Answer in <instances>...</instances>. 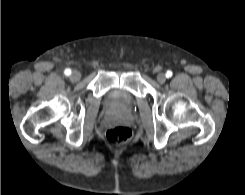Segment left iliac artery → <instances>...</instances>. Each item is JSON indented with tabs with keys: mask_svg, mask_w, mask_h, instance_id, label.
I'll return each instance as SVG.
<instances>
[{
	"mask_svg": "<svg viewBox=\"0 0 245 195\" xmlns=\"http://www.w3.org/2000/svg\"><path fill=\"white\" fill-rule=\"evenodd\" d=\"M172 71H170V70H168L167 72H166V77L167 78H170V77H172Z\"/></svg>",
	"mask_w": 245,
	"mask_h": 195,
	"instance_id": "44dca946",
	"label": "left iliac artery"
}]
</instances>
